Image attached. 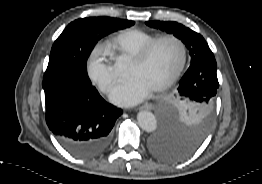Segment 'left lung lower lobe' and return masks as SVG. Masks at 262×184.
<instances>
[{"instance_id":"1","label":"left lung lower lobe","mask_w":262,"mask_h":184,"mask_svg":"<svg viewBox=\"0 0 262 184\" xmlns=\"http://www.w3.org/2000/svg\"><path fill=\"white\" fill-rule=\"evenodd\" d=\"M202 62L216 64L214 57L206 58ZM202 140L181 139L172 135L166 128L153 136L148 143L150 152L158 159L166 162H177L191 156L201 145Z\"/></svg>"}]
</instances>
